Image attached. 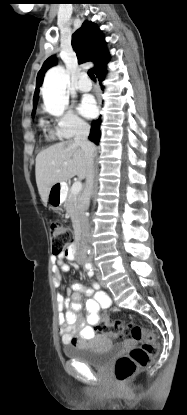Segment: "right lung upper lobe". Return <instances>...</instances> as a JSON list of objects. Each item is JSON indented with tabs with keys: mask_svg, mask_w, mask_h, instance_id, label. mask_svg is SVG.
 Here are the masks:
<instances>
[{
	"mask_svg": "<svg viewBox=\"0 0 187 415\" xmlns=\"http://www.w3.org/2000/svg\"><path fill=\"white\" fill-rule=\"evenodd\" d=\"M72 47L76 52L79 64L93 62L94 73L108 61L109 55L106 51V42L97 26L90 21H84L82 26L72 35ZM57 64L55 56H50L42 65L36 79V89L33 97V110H36L39 87L43 82L45 72Z\"/></svg>",
	"mask_w": 187,
	"mask_h": 415,
	"instance_id": "cb5924a9",
	"label": "right lung upper lobe"
}]
</instances>
